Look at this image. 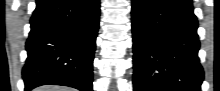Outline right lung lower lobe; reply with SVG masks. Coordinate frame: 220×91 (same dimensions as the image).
Returning a JSON list of instances; mask_svg holds the SVG:
<instances>
[{"label":"right lung lower lobe","instance_id":"obj_1","mask_svg":"<svg viewBox=\"0 0 220 91\" xmlns=\"http://www.w3.org/2000/svg\"><path fill=\"white\" fill-rule=\"evenodd\" d=\"M99 0H37L26 42L25 91L47 84L92 91Z\"/></svg>","mask_w":220,"mask_h":91}]
</instances>
